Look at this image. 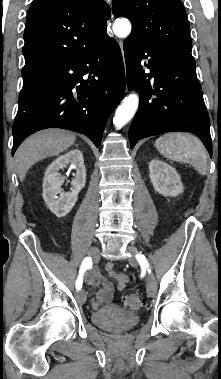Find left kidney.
<instances>
[{
  "label": "left kidney",
  "mask_w": 221,
  "mask_h": 379,
  "mask_svg": "<svg viewBox=\"0 0 221 379\" xmlns=\"http://www.w3.org/2000/svg\"><path fill=\"white\" fill-rule=\"evenodd\" d=\"M149 171L153 187L159 194L175 197L183 192L180 176L172 166L154 159L149 163Z\"/></svg>",
  "instance_id": "1"
}]
</instances>
